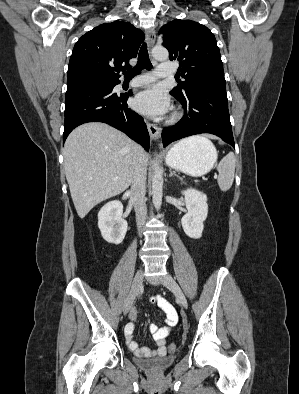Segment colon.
<instances>
[{"instance_id": "obj_1", "label": "colon", "mask_w": 299, "mask_h": 394, "mask_svg": "<svg viewBox=\"0 0 299 394\" xmlns=\"http://www.w3.org/2000/svg\"><path fill=\"white\" fill-rule=\"evenodd\" d=\"M169 349H170V350H173V349H174V345H170V346H169Z\"/></svg>"}]
</instances>
